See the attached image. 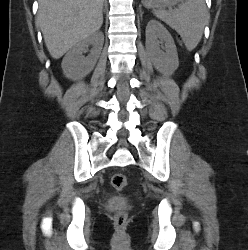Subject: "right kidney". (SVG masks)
I'll return each instance as SVG.
<instances>
[{"label":"right kidney","instance_id":"ca27d5eb","mask_svg":"<svg viewBox=\"0 0 248 250\" xmlns=\"http://www.w3.org/2000/svg\"><path fill=\"white\" fill-rule=\"evenodd\" d=\"M104 43V35L97 32L74 45L62 61V70L68 79L79 80L88 75L95 67ZM89 46H92L87 57L82 55Z\"/></svg>","mask_w":248,"mask_h":250}]
</instances>
